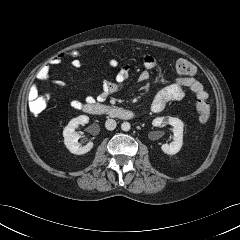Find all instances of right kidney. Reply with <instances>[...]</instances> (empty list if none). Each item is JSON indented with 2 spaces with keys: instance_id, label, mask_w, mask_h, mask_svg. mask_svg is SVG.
Listing matches in <instances>:
<instances>
[{
  "instance_id": "right-kidney-1",
  "label": "right kidney",
  "mask_w": 240,
  "mask_h": 240,
  "mask_svg": "<svg viewBox=\"0 0 240 240\" xmlns=\"http://www.w3.org/2000/svg\"><path fill=\"white\" fill-rule=\"evenodd\" d=\"M89 122V117L80 115L73 118L63 130L64 144L66 148L73 154L82 155L89 152L93 148V142H88L85 146H80L78 140L80 135L75 132V128Z\"/></svg>"
}]
</instances>
